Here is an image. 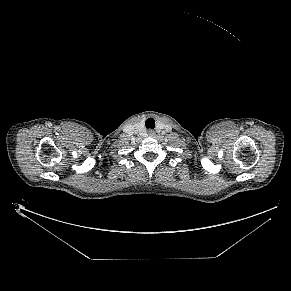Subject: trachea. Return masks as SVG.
Returning <instances> with one entry per match:
<instances>
[{"mask_svg": "<svg viewBox=\"0 0 291 291\" xmlns=\"http://www.w3.org/2000/svg\"><path fill=\"white\" fill-rule=\"evenodd\" d=\"M145 126L146 128L148 129H154L155 127V120L153 118H148L146 121H145Z\"/></svg>", "mask_w": 291, "mask_h": 291, "instance_id": "obj_1", "label": "trachea"}]
</instances>
